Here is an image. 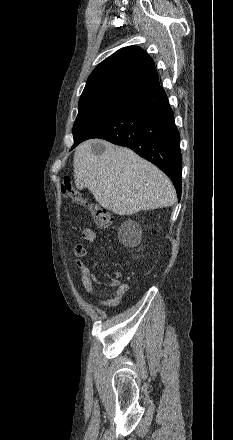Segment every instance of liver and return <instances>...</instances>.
Returning a JSON list of instances; mask_svg holds the SVG:
<instances>
[{"label":"liver","mask_w":233,"mask_h":440,"mask_svg":"<svg viewBox=\"0 0 233 440\" xmlns=\"http://www.w3.org/2000/svg\"><path fill=\"white\" fill-rule=\"evenodd\" d=\"M105 147L96 155L92 144ZM77 189L88 188L105 209L119 215L172 206L176 193L170 179L155 165L132 150L107 141L81 143L74 153Z\"/></svg>","instance_id":"obj_1"}]
</instances>
